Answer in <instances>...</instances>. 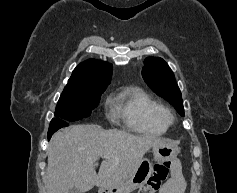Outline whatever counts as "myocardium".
Returning <instances> with one entry per match:
<instances>
[{
  "label": "myocardium",
  "mask_w": 237,
  "mask_h": 193,
  "mask_svg": "<svg viewBox=\"0 0 237 193\" xmlns=\"http://www.w3.org/2000/svg\"><path fill=\"white\" fill-rule=\"evenodd\" d=\"M166 118L168 120L169 123H171L173 121V115L171 114L170 111L167 110L166 112Z\"/></svg>",
  "instance_id": "myocardium-1"
}]
</instances>
